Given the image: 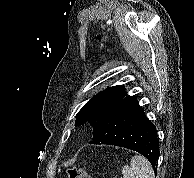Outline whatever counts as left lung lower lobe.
<instances>
[{
    "instance_id": "1",
    "label": "left lung lower lobe",
    "mask_w": 194,
    "mask_h": 178,
    "mask_svg": "<svg viewBox=\"0 0 194 178\" xmlns=\"http://www.w3.org/2000/svg\"><path fill=\"white\" fill-rule=\"evenodd\" d=\"M89 144L115 145L139 152L149 160L157 173V131L133 96L122 100L97 123Z\"/></svg>"
}]
</instances>
